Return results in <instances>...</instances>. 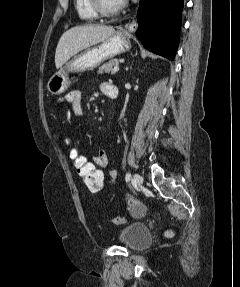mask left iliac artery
Here are the masks:
<instances>
[{"mask_svg": "<svg viewBox=\"0 0 240 287\" xmlns=\"http://www.w3.org/2000/svg\"><path fill=\"white\" fill-rule=\"evenodd\" d=\"M130 177H131L130 174L127 173V174H126V177H125V179H126L127 182L130 180Z\"/></svg>", "mask_w": 240, "mask_h": 287, "instance_id": "1", "label": "left iliac artery"}]
</instances>
